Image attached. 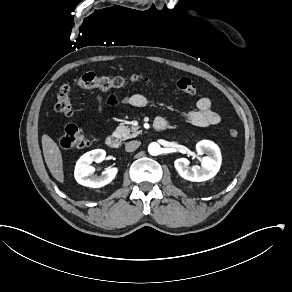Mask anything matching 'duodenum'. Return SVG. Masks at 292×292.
<instances>
[{"instance_id":"410a0bca","label":"duodenum","mask_w":292,"mask_h":292,"mask_svg":"<svg viewBox=\"0 0 292 292\" xmlns=\"http://www.w3.org/2000/svg\"><path fill=\"white\" fill-rule=\"evenodd\" d=\"M167 122L162 118H158L154 122V130L156 132H164L167 129ZM107 145L112 149H117L120 147V140L115 135H110L106 139Z\"/></svg>"}]
</instances>
